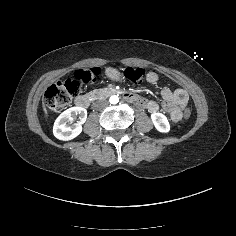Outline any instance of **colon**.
I'll return each instance as SVG.
<instances>
[{
	"mask_svg": "<svg viewBox=\"0 0 236 236\" xmlns=\"http://www.w3.org/2000/svg\"><path fill=\"white\" fill-rule=\"evenodd\" d=\"M99 73L98 68L80 69L74 72L72 78L51 85L45 94V102L49 111L54 114L62 112L78 93L80 84L93 82ZM125 75L130 81L140 84L147 78V71L142 68H127ZM156 81L157 79H155ZM190 116L191 109L186 107L183 117L188 119Z\"/></svg>",
	"mask_w": 236,
	"mask_h": 236,
	"instance_id": "colon-1",
	"label": "colon"
}]
</instances>
